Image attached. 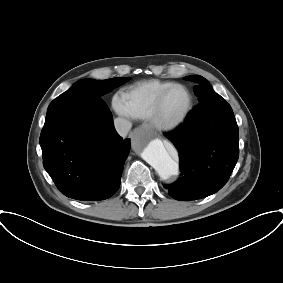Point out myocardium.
<instances>
[{
	"mask_svg": "<svg viewBox=\"0 0 283 283\" xmlns=\"http://www.w3.org/2000/svg\"><path fill=\"white\" fill-rule=\"evenodd\" d=\"M177 88L183 89L187 92L188 98H189L188 105L180 117H178L177 119L171 120V121H167L163 119L161 115L162 105H163V102L166 96L172 90L177 89ZM193 107H194V96L191 90L183 84L174 83L170 85L169 87H167L166 89H164L159 94L158 98L156 99L152 114L149 119H150L152 126L155 129L162 131V132H172L180 128L187 121V119L189 118L193 110Z\"/></svg>",
	"mask_w": 283,
	"mask_h": 283,
	"instance_id": "obj_1",
	"label": "myocardium"
}]
</instances>
